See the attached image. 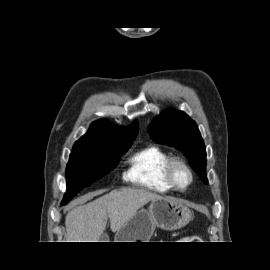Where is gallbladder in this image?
I'll use <instances>...</instances> for the list:
<instances>
[{
  "mask_svg": "<svg viewBox=\"0 0 270 270\" xmlns=\"http://www.w3.org/2000/svg\"><path fill=\"white\" fill-rule=\"evenodd\" d=\"M108 239H109L108 234H107V233H103V234L101 235V237H100V240H99V241H101V242H107V241H108Z\"/></svg>",
  "mask_w": 270,
  "mask_h": 270,
  "instance_id": "gallbladder-1",
  "label": "gallbladder"
}]
</instances>
